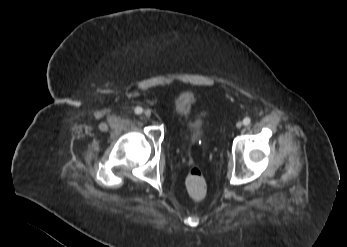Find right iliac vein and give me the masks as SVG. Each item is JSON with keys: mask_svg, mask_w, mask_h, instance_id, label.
Masks as SVG:
<instances>
[{"mask_svg": "<svg viewBox=\"0 0 347 247\" xmlns=\"http://www.w3.org/2000/svg\"><path fill=\"white\" fill-rule=\"evenodd\" d=\"M143 114H144L145 117L148 118V117L151 116V111L150 110H145Z\"/></svg>", "mask_w": 347, "mask_h": 247, "instance_id": "63e3f726", "label": "right iliac vein"}]
</instances>
